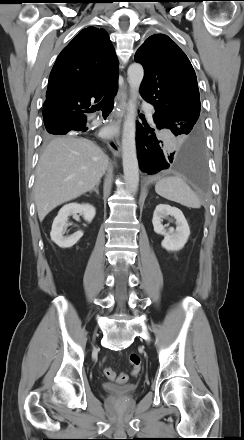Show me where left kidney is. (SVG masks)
<instances>
[{
    "instance_id": "1",
    "label": "left kidney",
    "mask_w": 244,
    "mask_h": 440,
    "mask_svg": "<svg viewBox=\"0 0 244 440\" xmlns=\"http://www.w3.org/2000/svg\"><path fill=\"white\" fill-rule=\"evenodd\" d=\"M169 215L176 220L175 230L173 228L166 230L162 225L163 219ZM152 223L155 233L164 236L161 242L164 249L167 251H179L184 247L189 238L190 229L181 210L170 205L159 204L154 211Z\"/></svg>"
}]
</instances>
